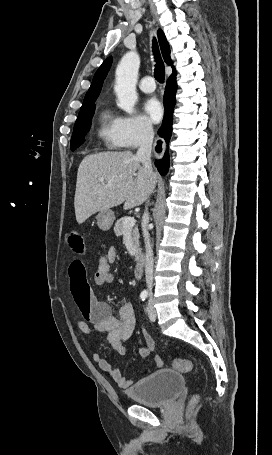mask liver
I'll list each match as a JSON object with an SVG mask.
<instances>
[{
  "label": "liver",
  "instance_id": "6515ba94",
  "mask_svg": "<svg viewBox=\"0 0 272 455\" xmlns=\"http://www.w3.org/2000/svg\"><path fill=\"white\" fill-rule=\"evenodd\" d=\"M100 179H104L100 182ZM156 184L141 161L131 152H102L87 155L77 173L74 207L76 220L85 222L91 215L124 203L131 209L145 202Z\"/></svg>",
  "mask_w": 272,
  "mask_h": 455
}]
</instances>
